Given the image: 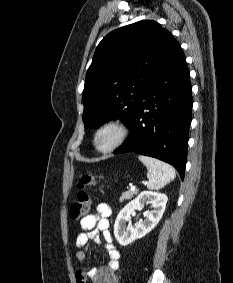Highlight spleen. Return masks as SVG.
Instances as JSON below:
<instances>
[{"label":"spleen","mask_w":233,"mask_h":283,"mask_svg":"<svg viewBox=\"0 0 233 283\" xmlns=\"http://www.w3.org/2000/svg\"><path fill=\"white\" fill-rule=\"evenodd\" d=\"M138 158L147 167L148 189L159 190L175 179V170L169 164L148 156Z\"/></svg>","instance_id":"obj_1"}]
</instances>
